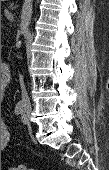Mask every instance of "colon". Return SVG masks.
<instances>
[{"label": "colon", "instance_id": "5ec220e1", "mask_svg": "<svg viewBox=\"0 0 109 170\" xmlns=\"http://www.w3.org/2000/svg\"><path fill=\"white\" fill-rule=\"evenodd\" d=\"M8 170H36V169L27 168L26 166L23 165H17V166H10Z\"/></svg>", "mask_w": 109, "mask_h": 170}]
</instances>
